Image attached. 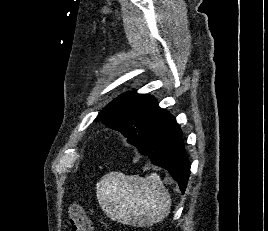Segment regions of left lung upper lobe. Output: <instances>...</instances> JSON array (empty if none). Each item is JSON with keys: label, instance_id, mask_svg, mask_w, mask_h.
<instances>
[{"label": "left lung upper lobe", "instance_id": "left-lung-upper-lobe-1", "mask_svg": "<svg viewBox=\"0 0 268 231\" xmlns=\"http://www.w3.org/2000/svg\"><path fill=\"white\" fill-rule=\"evenodd\" d=\"M169 115L151 96L132 91L112 101L94 121L121 132L134 145L147 139Z\"/></svg>", "mask_w": 268, "mask_h": 231}]
</instances>
